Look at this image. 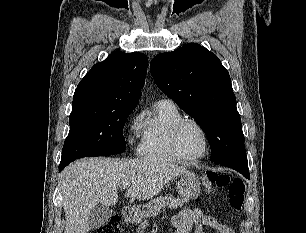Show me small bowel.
<instances>
[{
  "mask_svg": "<svg viewBox=\"0 0 306 233\" xmlns=\"http://www.w3.org/2000/svg\"><path fill=\"white\" fill-rule=\"evenodd\" d=\"M171 226L174 233H204V227L214 228L218 233H235L231 227L203 214L200 209L181 210L172 218Z\"/></svg>",
  "mask_w": 306,
  "mask_h": 233,
  "instance_id": "small-bowel-1",
  "label": "small bowel"
}]
</instances>
